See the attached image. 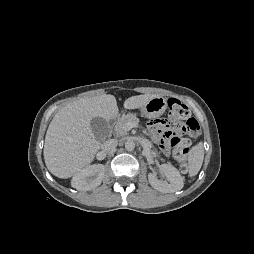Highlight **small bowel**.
I'll list each match as a JSON object with an SVG mask.
<instances>
[{"label":"small bowel","mask_w":254,"mask_h":254,"mask_svg":"<svg viewBox=\"0 0 254 254\" xmlns=\"http://www.w3.org/2000/svg\"><path fill=\"white\" fill-rule=\"evenodd\" d=\"M149 129L155 141H157L163 148L165 153L168 152L167 144L163 141V131L167 128H172L173 125L167 123L164 119L154 120L149 123Z\"/></svg>","instance_id":"1"}]
</instances>
